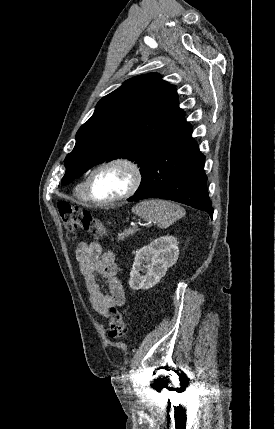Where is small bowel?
Segmentation results:
<instances>
[{
    "label": "small bowel",
    "instance_id": "1",
    "mask_svg": "<svg viewBox=\"0 0 275 429\" xmlns=\"http://www.w3.org/2000/svg\"><path fill=\"white\" fill-rule=\"evenodd\" d=\"M76 258L85 278L91 305L98 314L107 317L111 307L125 304L126 296L117 278V264L112 251H102L99 240L95 239L90 243H80L76 249ZM98 278L106 282L107 293L102 292Z\"/></svg>",
    "mask_w": 275,
    "mask_h": 429
}]
</instances>
